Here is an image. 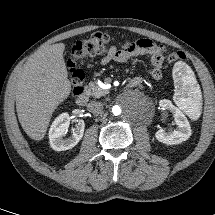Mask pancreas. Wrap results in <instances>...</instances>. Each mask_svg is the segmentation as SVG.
Instances as JSON below:
<instances>
[{
	"instance_id": "1",
	"label": "pancreas",
	"mask_w": 215,
	"mask_h": 215,
	"mask_svg": "<svg viewBox=\"0 0 215 215\" xmlns=\"http://www.w3.org/2000/svg\"><path fill=\"white\" fill-rule=\"evenodd\" d=\"M86 91L89 95L95 98H100L101 96H104L108 94V90L102 89L96 82H90L88 86L85 87Z\"/></svg>"
}]
</instances>
